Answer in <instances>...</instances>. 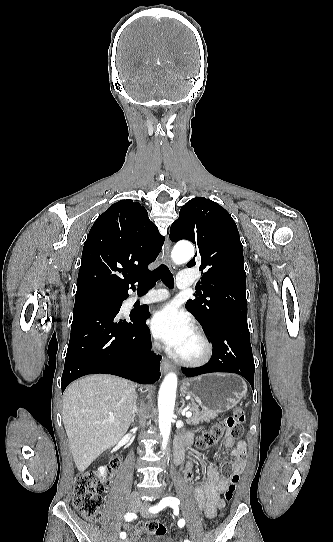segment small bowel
<instances>
[{"instance_id": "c3829d8e", "label": "small bowel", "mask_w": 333, "mask_h": 542, "mask_svg": "<svg viewBox=\"0 0 333 542\" xmlns=\"http://www.w3.org/2000/svg\"><path fill=\"white\" fill-rule=\"evenodd\" d=\"M192 440L195 433L189 432ZM185 444L189 442L185 441ZM224 444L227 448L231 449L232 457L236 459H243L246 454V442L244 440H234L232 438H226ZM178 448V446H177ZM193 463L188 462L184 470V479L189 481L192 477ZM232 480H228L221 477L218 468L214 463H210L207 467V478L204 483L197 484L195 487V500L198 508L202 510L207 518H214L217 510L224 504V500L221 495L232 484ZM127 528H130L128 525ZM132 533L129 536L127 542H137V538L141 533L140 524H135L132 528Z\"/></svg>"}]
</instances>
